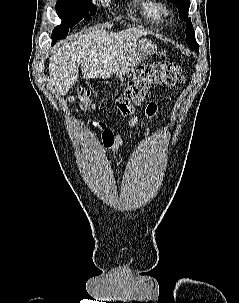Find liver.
I'll use <instances>...</instances> for the list:
<instances>
[{
    "mask_svg": "<svg viewBox=\"0 0 239 303\" xmlns=\"http://www.w3.org/2000/svg\"><path fill=\"white\" fill-rule=\"evenodd\" d=\"M147 33L137 28L109 33L97 27L62 42L51 56L48 67L56 96L65 95L76 84L80 65L86 80L109 78L118 71L128 51Z\"/></svg>",
    "mask_w": 239,
    "mask_h": 303,
    "instance_id": "obj_1",
    "label": "liver"
}]
</instances>
